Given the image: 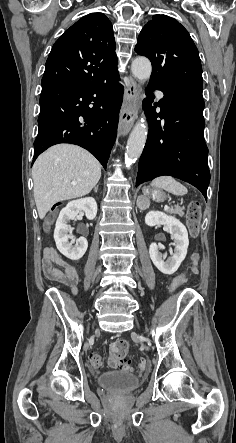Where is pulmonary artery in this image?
<instances>
[{
    "mask_svg": "<svg viewBox=\"0 0 236 443\" xmlns=\"http://www.w3.org/2000/svg\"><path fill=\"white\" fill-rule=\"evenodd\" d=\"M157 96H158V98H162L163 95H162L161 92H158V93H157Z\"/></svg>",
    "mask_w": 236,
    "mask_h": 443,
    "instance_id": "obj_1",
    "label": "pulmonary artery"
}]
</instances>
